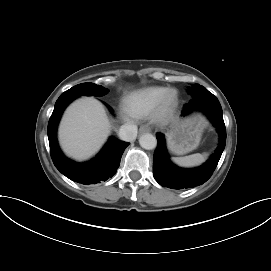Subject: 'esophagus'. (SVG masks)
I'll return each instance as SVG.
<instances>
[{"label": "esophagus", "instance_id": "34e87169", "mask_svg": "<svg viewBox=\"0 0 271 271\" xmlns=\"http://www.w3.org/2000/svg\"><path fill=\"white\" fill-rule=\"evenodd\" d=\"M140 133H146V132H150V128L148 126H141L139 129Z\"/></svg>", "mask_w": 271, "mask_h": 271}]
</instances>
